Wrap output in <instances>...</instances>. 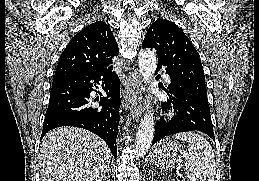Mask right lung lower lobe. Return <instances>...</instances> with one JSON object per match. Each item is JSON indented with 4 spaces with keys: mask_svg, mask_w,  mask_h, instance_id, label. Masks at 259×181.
Segmentation results:
<instances>
[{
    "mask_svg": "<svg viewBox=\"0 0 259 181\" xmlns=\"http://www.w3.org/2000/svg\"><path fill=\"white\" fill-rule=\"evenodd\" d=\"M100 86L106 96L99 92L100 98L91 99V91ZM119 88V77L111 65L53 82L41 137L61 126L84 128L101 137L116 158L121 103ZM95 101H99L98 107L93 106Z\"/></svg>",
    "mask_w": 259,
    "mask_h": 181,
    "instance_id": "98d812e1",
    "label": "right lung lower lobe"
}]
</instances>
